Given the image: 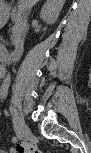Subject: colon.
Returning <instances> with one entry per match:
<instances>
[{
	"instance_id": "5ec220e1",
	"label": "colon",
	"mask_w": 91,
	"mask_h": 153,
	"mask_svg": "<svg viewBox=\"0 0 91 153\" xmlns=\"http://www.w3.org/2000/svg\"><path fill=\"white\" fill-rule=\"evenodd\" d=\"M16 153H38V148L34 143H18L15 147Z\"/></svg>"
}]
</instances>
